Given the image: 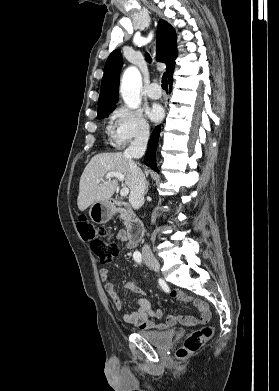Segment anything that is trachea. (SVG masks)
Returning <instances> with one entry per match:
<instances>
[{
  "mask_svg": "<svg viewBox=\"0 0 279 391\" xmlns=\"http://www.w3.org/2000/svg\"><path fill=\"white\" fill-rule=\"evenodd\" d=\"M162 88L166 91L168 90V81L166 73H164L162 76Z\"/></svg>",
  "mask_w": 279,
  "mask_h": 391,
  "instance_id": "obj_1",
  "label": "trachea"
}]
</instances>
